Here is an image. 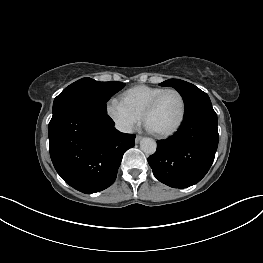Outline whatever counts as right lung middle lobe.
<instances>
[{
	"instance_id": "dd1d6c3e",
	"label": "right lung middle lobe",
	"mask_w": 263,
	"mask_h": 263,
	"mask_svg": "<svg viewBox=\"0 0 263 263\" xmlns=\"http://www.w3.org/2000/svg\"><path fill=\"white\" fill-rule=\"evenodd\" d=\"M124 83L99 82L82 78L66 87L54 100L53 116L69 108H82L107 113L106 102L124 87Z\"/></svg>"
}]
</instances>
